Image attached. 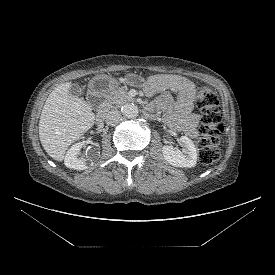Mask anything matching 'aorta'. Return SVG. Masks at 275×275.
Returning <instances> with one entry per match:
<instances>
[{
    "instance_id": "obj_1",
    "label": "aorta",
    "mask_w": 275,
    "mask_h": 275,
    "mask_svg": "<svg viewBox=\"0 0 275 275\" xmlns=\"http://www.w3.org/2000/svg\"><path fill=\"white\" fill-rule=\"evenodd\" d=\"M121 111L127 118H135L139 113L138 107L133 103L123 105Z\"/></svg>"
}]
</instances>
